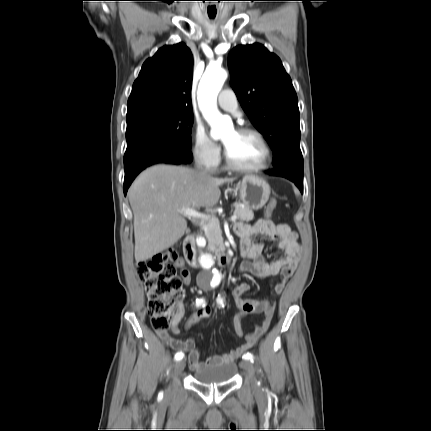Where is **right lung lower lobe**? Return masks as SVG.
<instances>
[{"label":"right lung lower lobe","mask_w":431,"mask_h":431,"mask_svg":"<svg viewBox=\"0 0 431 431\" xmlns=\"http://www.w3.org/2000/svg\"><path fill=\"white\" fill-rule=\"evenodd\" d=\"M193 159L191 151L186 146L161 136H149L129 145L124 155V194L145 168L157 163L183 164Z\"/></svg>","instance_id":"1"}]
</instances>
